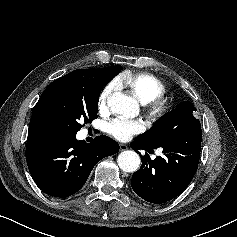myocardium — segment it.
<instances>
[{
	"mask_svg": "<svg viewBox=\"0 0 237 237\" xmlns=\"http://www.w3.org/2000/svg\"><path fill=\"white\" fill-rule=\"evenodd\" d=\"M150 105V113L155 117H160L168 111V104L162 99H155L148 103Z\"/></svg>",
	"mask_w": 237,
	"mask_h": 237,
	"instance_id": "obj_1",
	"label": "myocardium"
}]
</instances>
